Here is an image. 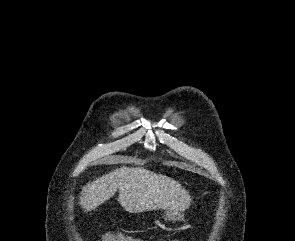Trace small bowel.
Returning <instances> with one entry per match:
<instances>
[{"label": "small bowel", "instance_id": "c3829d8e", "mask_svg": "<svg viewBox=\"0 0 295 241\" xmlns=\"http://www.w3.org/2000/svg\"><path fill=\"white\" fill-rule=\"evenodd\" d=\"M125 241H142V240L127 236V237L125 238Z\"/></svg>", "mask_w": 295, "mask_h": 241}]
</instances>
